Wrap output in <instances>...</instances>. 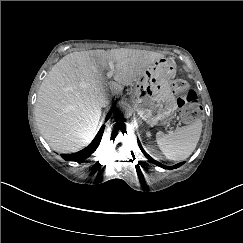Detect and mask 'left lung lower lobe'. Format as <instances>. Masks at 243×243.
Returning a JSON list of instances; mask_svg holds the SVG:
<instances>
[{"label":"left lung lower lobe","mask_w":243,"mask_h":243,"mask_svg":"<svg viewBox=\"0 0 243 243\" xmlns=\"http://www.w3.org/2000/svg\"><path fill=\"white\" fill-rule=\"evenodd\" d=\"M138 144H139V147H140L141 151H142V152L144 153V155L146 156V158H147L150 162L154 163L155 165H157V166H159V167H162V168H164V169H175V168H178V167H180L181 165L184 164V162H181V163L176 164V165L171 166V167H170V166H165V165H163V164H161V163L155 161L154 159H152V158H151V157L144 151V149L142 148V146H141L139 140H138Z\"/></svg>","instance_id":"1"}]
</instances>
